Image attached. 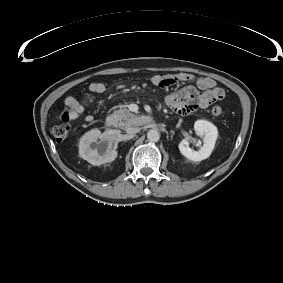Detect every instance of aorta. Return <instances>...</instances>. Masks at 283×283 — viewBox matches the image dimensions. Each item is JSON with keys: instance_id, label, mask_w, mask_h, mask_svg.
<instances>
[{"instance_id": "aorta-1", "label": "aorta", "mask_w": 283, "mask_h": 283, "mask_svg": "<svg viewBox=\"0 0 283 283\" xmlns=\"http://www.w3.org/2000/svg\"><path fill=\"white\" fill-rule=\"evenodd\" d=\"M147 139L150 141V142H158L159 139H160V133L158 130L156 129H151L148 131L147 133Z\"/></svg>"}]
</instances>
